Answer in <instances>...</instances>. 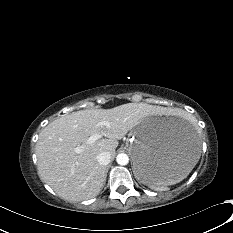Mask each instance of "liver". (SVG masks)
<instances>
[{
  "label": "liver",
  "mask_w": 233,
  "mask_h": 233,
  "mask_svg": "<svg viewBox=\"0 0 233 233\" xmlns=\"http://www.w3.org/2000/svg\"><path fill=\"white\" fill-rule=\"evenodd\" d=\"M171 114L165 108L145 103H127L111 109L72 112L49 123L36 144L38 174L55 193L68 201H82L98 195L104 184L105 168L97 155L113 156L122 139L137 123L156 115ZM107 121L110 126L99 125ZM102 134L92 144L87 139ZM83 146L81 153L75 148Z\"/></svg>",
  "instance_id": "6515ba94"
}]
</instances>
